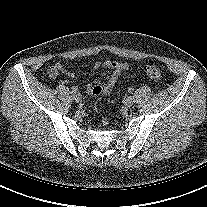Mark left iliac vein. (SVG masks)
<instances>
[{
    "label": "left iliac vein",
    "instance_id": "4c4485c4",
    "mask_svg": "<svg viewBox=\"0 0 207 207\" xmlns=\"http://www.w3.org/2000/svg\"><path fill=\"white\" fill-rule=\"evenodd\" d=\"M133 104H134V99L132 96H128L124 99V106L126 108L132 107Z\"/></svg>",
    "mask_w": 207,
    "mask_h": 207
}]
</instances>
